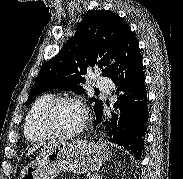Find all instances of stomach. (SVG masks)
Segmentation results:
<instances>
[{"instance_id": "stomach-1", "label": "stomach", "mask_w": 183, "mask_h": 179, "mask_svg": "<svg viewBox=\"0 0 183 179\" xmlns=\"http://www.w3.org/2000/svg\"><path fill=\"white\" fill-rule=\"evenodd\" d=\"M110 155L104 142L53 141L43 146L36 159L21 170L19 179H54L65 171L75 174L96 171Z\"/></svg>"}]
</instances>
